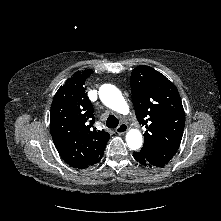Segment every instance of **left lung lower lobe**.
<instances>
[{
    "label": "left lung lower lobe",
    "mask_w": 221,
    "mask_h": 221,
    "mask_svg": "<svg viewBox=\"0 0 221 221\" xmlns=\"http://www.w3.org/2000/svg\"><path fill=\"white\" fill-rule=\"evenodd\" d=\"M133 157L135 158V160H137L139 163L145 165V166H150L152 167L153 165L150 164L147 159L142 155L140 154L139 152H134L133 153Z\"/></svg>",
    "instance_id": "1"
}]
</instances>
